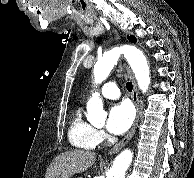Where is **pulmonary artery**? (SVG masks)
Wrapping results in <instances>:
<instances>
[{"label": "pulmonary artery", "instance_id": "obj_1", "mask_svg": "<svg viewBox=\"0 0 194 178\" xmlns=\"http://www.w3.org/2000/svg\"><path fill=\"white\" fill-rule=\"evenodd\" d=\"M101 94L107 99H117L120 97V90L118 88L117 82L110 81L103 85L101 89Z\"/></svg>", "mask_w": 194, "mask_h": 178}]
</instances>
